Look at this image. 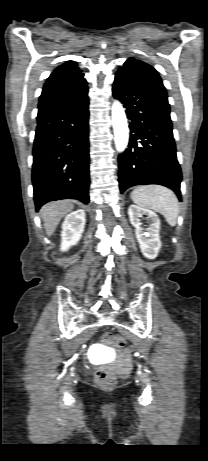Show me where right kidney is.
<instances>
[{"mask_svg": "<svg viewBox=\"0 0 208 461\" xmlns=\"http://www.w3.org/2000/svg\"><path fill=\"white\" fill-rule=\"evenodd\" d=\"M85 227V212L80 209L68 214L62 224L61 251H67L80 240Z\"/></svg>", "mask_w": 208, "mask_h": 461, "instance_id": "obj_1", "label": "right kidney"}]
</instances>
